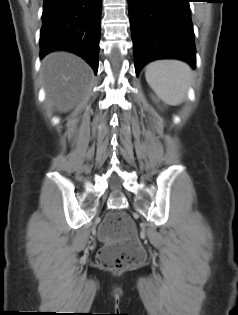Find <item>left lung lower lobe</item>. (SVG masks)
<instances>
[{
	"label": "left lung lower lobe",
	"instance_id": "0a47b994",
	"mask_svg": "<svg viewBox=\"0 0 238 315\" xmlns=\"http://www.w3.org/2000/svg\"><path fill=\"white\" fill-rule=\"evenodd\" d=\"M190 0H128L135 71L156 59L196 64Z\"/></svg>",
	"mask_w": 238,
	"mask_h": 315
}]
</instances>
